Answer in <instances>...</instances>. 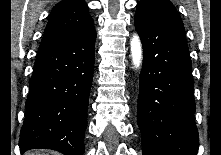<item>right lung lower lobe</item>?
Instances as JSON below:
<instances>
[{
    "label": "right lung lower lobe",
    "instance_id": "98d812e1",
    "mask_svg": "<svg viewBox=\"0 0 221 155\" xmlns=\"http://www.w3.org/2000/svg\"><path fill=\"white\" fill-rule=\"evenodd\" d=\"M95 40L93 23L75 31L44 34L25 105L21 153L41 148L83 155Z\"/></svg>",
    "mask_w": 221,
    "mask_h": 155
}]
</instances>
